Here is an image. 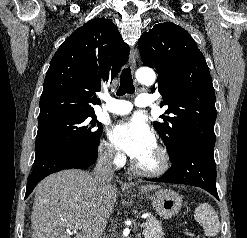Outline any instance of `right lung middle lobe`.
Listing matches in <instances>:
<instances>
[{
  "label": "right lung middle lobe",
  "mask_w": 247,
  "mask_h": 238,
  "mask_svg": "<svg viewBox=\"0 0 247 238\" xmlns=\"http://www.w3.org/2000/svg\"><path fill=\"white\" fill-rule=\"evenodd\" d=\"M102 131L95 114L38 122L35 160L59 150L96 151Z\"/></svg>",
  "instance_id": "1"
}]
</instances>
